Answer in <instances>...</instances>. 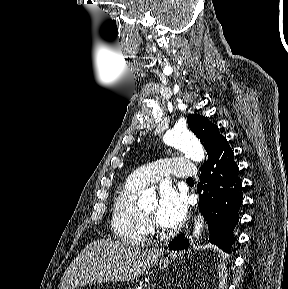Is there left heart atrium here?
I'll list each match as a JSON object with an SVG mask.
<instances>
[{
	"mask_svg": "<svg viewBox=\"0 0 288 289\" xmlns=\"http://www.w3.org/2000/svg\"><path fill=\"white\" fill-rule=\"evenodd\" d=\"M186 209L184 196L170 186H163L159 192L155 220L162 227H177L183 221Z\"/></svg>",
	"mask_w": 288,
	"mask_h": 289,
	"instance_id": "obj_1",
	"label": "left heart atrium"
}]
</instances>
